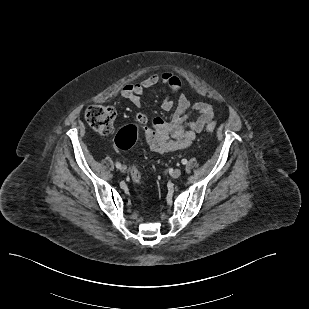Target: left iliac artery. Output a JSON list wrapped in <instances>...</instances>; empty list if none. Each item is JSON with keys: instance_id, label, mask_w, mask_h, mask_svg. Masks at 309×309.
Instances as JSON below:
<instances>
[{"instance_id": "left-iliac-artery-1", "label": "left iliac artery", "mask_w": 309, "mask_h": 309, "mask_svg": "<svg viewBox=\"0 0 309 309\" xmlns=\"http://www.w3.org/2000/svg\"><path fill=\"white\" fill-rule=\"evenodd\" d=\"M181 162H182L183 165H185V164H187V159H182Z\"/></svg>"}]
</instances>
